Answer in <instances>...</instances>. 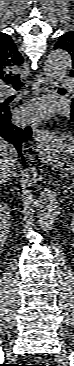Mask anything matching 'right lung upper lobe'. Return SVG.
Returning a JSON list of instances; mask_svg holds the SVG:
<instances>
[{
	"label": "right lung upper lobe",
	"instance_id": "1",
	"mask_svg": "<svg viewBox=\"0 0 74 366\" xmlns=\"http://www.w3.org/2000/svg\"><path fill=\"white\" fill-rule=\"evenodd\" d=\"M24 59L8 34L0 33V80L9 76L13 66L21 65Z\"/></svg>",
	"mask_w": 74,
	"mask_h": 366
}]
</instances>
